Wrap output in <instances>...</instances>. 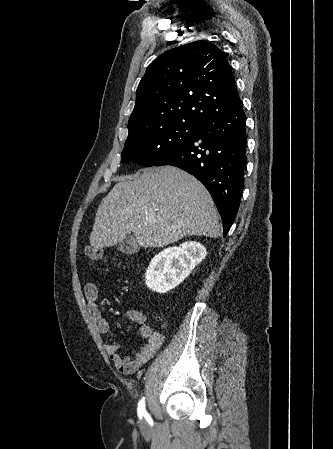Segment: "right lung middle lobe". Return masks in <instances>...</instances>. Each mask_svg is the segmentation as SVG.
Wrapping results in <instances>:
<instances>
[{"label": "right lung middle lobe", "mask_w": 333, "mask_h": 449, "mask_svg": "<svg viewBox=\"0 0 333 449\" xmlns=\"http://www.w3.org/2000/svg\"><path fill=\"white\" fill-rule=\"evenodd\" d=\"M199 126L189 121L172 122L127 139L121 163L155 166L190 139Z\"/></svg>", "instance_id": "right-lung-middle-lobe-1"}]
</instances>
